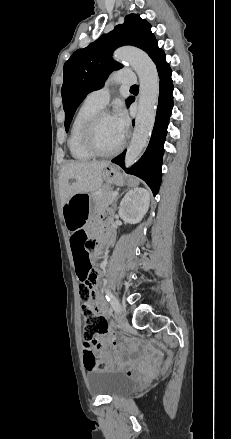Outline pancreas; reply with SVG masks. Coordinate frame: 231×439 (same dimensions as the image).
<instances>
[{
    "label": "pancreas",
    "instance_id": "1",
    "mask_svg": "<svg viewBox=\"0 0 231 439\" xmlns=\"http://www.w3.org/2000/svg\"><path fill=\"white\" fill-rule=\"evenodd\" d=\"M112 189L106 188L102 190L100 193L94 195V202L96 205L97 211H101L105 209L108 205H110L115 197L112 196Z\"/></svg>",
    "mask_w": 231,
    "mask_h": 439
}]
</instances>
